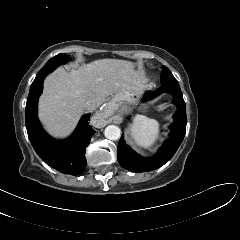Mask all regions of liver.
Instances as JSON below:
<instances>
[{
  "label": "liver",
  "instance_id": "obj_1",
  "mask_svg": "<svg viewBox=\"0 0 240 240\" xmlns=\"http://www.w3.org/2000/svg\"><path fill=\"white\" fill-rule=\"evenodd\" d=\"M143 87L142 76L126 60H96L70 72L58 68L44 81L39 118L51 135L64 137L75 128L86 101L97 108L109 95Z\"/></svg>",
  "mask_w": 240,
  "mask_h": 240
}]
</instances>
